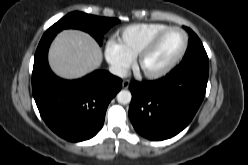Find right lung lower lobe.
Instances as JSON below:
<instances>
[{"label": "right lung lower lobe", "mask_w": 248, "mask_h": 165, "mask_svg": "<svg viewBox=\"0 0 248 165\" xmlns=\"http://www.w3.org/2000/svg\"><path fill=\"white\" fill-rule=\"evenodd\" d=\"M54 37H42L36 50L33 96L41 117L53 132L68 141H84L101 130L108 104L120 91L122 80L100 70L73 81L58 78L47 62Z\"/></svg>", "instance_id": "98d812e1"}]
</instances>
